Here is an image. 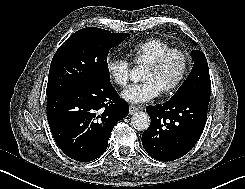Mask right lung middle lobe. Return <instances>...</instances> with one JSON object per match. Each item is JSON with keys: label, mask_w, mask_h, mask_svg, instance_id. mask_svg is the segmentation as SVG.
Masks as SVG:
<instances>
[{"label": "right lung middle lobe", "mask_w": 245, "mask_h": 189, "mask_svg": "<svg viewBox=\"0 0 245 189\" xmlns=\"http://www.w3.org/2000/svg\"><path fill=\"white\" fill-rule=\"evenodd\" d=\"M128 33L88 27L71 35L56 51L49 70L47 97L82 90L110 80L107 56Z\"/></svg>", "instance_id": "obj_1"}]
</instances>
